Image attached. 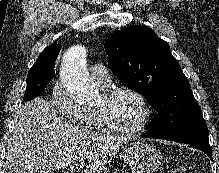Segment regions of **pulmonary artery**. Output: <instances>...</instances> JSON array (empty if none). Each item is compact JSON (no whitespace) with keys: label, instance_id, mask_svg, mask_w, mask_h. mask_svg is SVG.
I'll return each instance as SVG.
<instances>
[{"label":"pulmonary artery","instance_id":"e3ab8cb5","mask_svg":"<svg viewBox=\"0 0 219 173\" xmlns=\"http://www.w3.org/2000/svg\"><path fill=\"white\" fill-rule=\"evenodd\" d=\"M89 72H90L91 78L99 86L106 87L110 83L109 71L103 63L101 62L94 63L90 67Z\"/></svg>","mask_w":219,"mask_h":173}]
</instances>
